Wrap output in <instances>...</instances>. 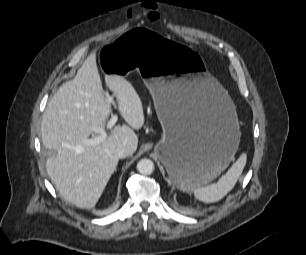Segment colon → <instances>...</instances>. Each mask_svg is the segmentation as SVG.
I'll list each match as a JSON object with an SVG mask.
<instances>
[{
    "mask_svg": "<svg viewBox=\"0 0 306 255\" xmlns=\"http://www.w3.org/2000/svg\"><path fill=\"white\" fill-rule=\"evenodd\" d=\"M157 13L155 10H150L147 14V17L150 19V20H153L154 19V16H156Z\"/></svg>",
    "mask_w": 306,
    "mask_h": 255,
    "instance_id": "obj_1",
    "label": "colon"
}]
</instances>
